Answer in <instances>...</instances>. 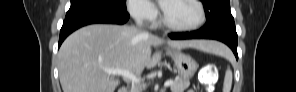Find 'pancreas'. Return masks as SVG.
<instances>
[{
	"mask_svg": "<svg viewBox=\"0 0 296 92\" xmlns=\"http://www.w3.org/2000/svg\"><path fill=\"white\" fill-rule=\"evenodd\" d=\"M190 85L189 80H183L182 78H177L173 81V84L170 86L171 92H184Z\"/></svg>",
	"mask_w": 296,
	"mask_h": 92,
	"instance_id": "1",
	"label": "pancreas"
}]
</instances>
